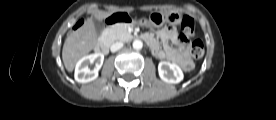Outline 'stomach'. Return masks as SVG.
Masks as SVG:
<instances>
[{"label": "stomach", "instance_id": "stomach-1", "mask_svg": "<svg viewBox=\"0 0 276 120\" xmlns=\"http://www.w3.org/2000/svg\"><path fill=\"white\" fill-rule=\"evenodd\" d=\"M183 18V15L179 12L162 13L152 12L149 18H141L138 24L148 28H161L165 23H172L178 25Z\"/></svg>", "mask_w": 276, "mask_h": 120}]
</instances>
